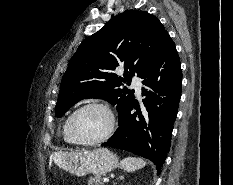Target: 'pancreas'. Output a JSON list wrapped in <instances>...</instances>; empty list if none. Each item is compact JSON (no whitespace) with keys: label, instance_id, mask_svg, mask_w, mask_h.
Masks as SVG:
<instances>
[{"label":"pancreas","instance_id":"1","mask_svg":"<svg viewBox=\"0 0 233 185\" xmlns=\"http://www.w3.org/2000/svg\"><path fill=\"white\" fill-rule=\"evenodd\" d=\"M100 180H101L100 175L90 177L89 180H88V185H103V183H101Z\"/></svg>","mask_w":233,"mask_h":185}]
</instances>
